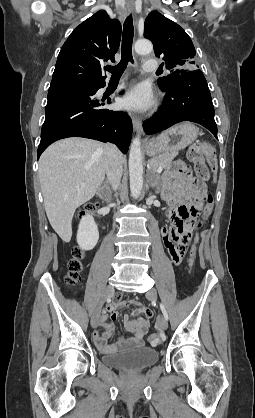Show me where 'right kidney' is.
Returning a JSON list of instances; mask_svg holds the SVG:
<instances>
[{
    "label": "right kidney",
    "instance_id": "1",
    "mask_svg": "<svg viewBox=\"0 0 255 418\" xmlns=\"http://www.w3.org/2000/svg\"><path fill=\"white\" fill-rule=\"evenodd\" d=\"M99 239L98 227L94 218L86 214L80 221L77 232V242L82 250H92Z\"/></svg>",
    "mask_w": 255,
    "mask_h": 418
}]
</instances>
